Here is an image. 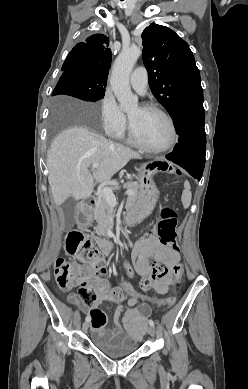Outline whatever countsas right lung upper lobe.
I'll list each match as a JSON object with an SVG mask.
<instances>
[{
	"mask_svg": "<svg viewBox=\"0 0 248 389\" xmlns=\"http://www.w3.org/2000/svg\"><path fill=\"white\" fill-rule=\"evenodd\" d=\"M109 39L105 35L95 34L77 44L68 54L62 70H81L92 78L107 81L111 64Z\"/></svg>",
	"mask_w": 248,
	"mask_h": 389,
	"instance_id": "right-lung-upper-lobe-1",
	"label": "right lung upper lobe"
}]
</instances>
